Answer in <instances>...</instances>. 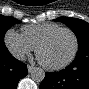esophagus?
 <instances>
[{
	"instance_id": "34e87169",
	"label": "esophagus",
	"mask_w": 89,
	"mask_h": 89,
	"mask_svg": "<svg viewBox=\"0 0 89 89\" xmlns=\"http://www.w3.org/2000/svg\"><path fill=\"white\" fill-rule=\"evenodd\" d=\"M27 68H28V71H29V72H32V71L35 69V67L30 66V65H28Z\"/></svg>"
}]
</instances>
